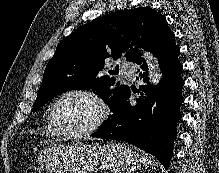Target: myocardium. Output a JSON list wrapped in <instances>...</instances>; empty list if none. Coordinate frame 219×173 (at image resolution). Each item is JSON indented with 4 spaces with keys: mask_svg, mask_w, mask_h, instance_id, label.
<instances>
[{
    "mask_svg": "<svg viewBox=\"0 0 219 173\" xmlns=\"http://www.w3.org/2000/svg\"><path fill=\"white\" fill-rule=\"evenodd\" d=\"M72 95H82L93 100L99 108V114L96 119L87 127L78 131H68L61 127L57 120L56 110L58 104L66 97ZM110 116V107L106 100L95 90L90 88H73L63 92L53 102L49 112V118L54 129L62 136L68 138H80L90 135L103 126Z\"/></svg>",
    "mask_w": 219,
    "mask_h": 173,
    "instance_id": "myocardium-1",
    "label": "myocardium"
}]
</instances>
